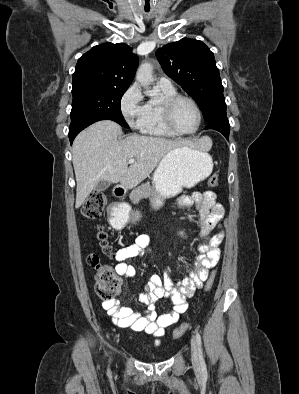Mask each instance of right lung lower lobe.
<instances>
[{
  "label": "right lung lower lobe",
  "mask_w": 299,
  "mask_h": 394,
  "mask_svg": "<svg viewBox=\"0 0 299 394\" xmlns=\"http://www.w3.org/2000/svg\"><path fill=\"white\" fill-rule=\"evenodd\" d=\"M100 120H104V119L89 118V119H81V120H76V121L71 122L70 128H69L70 143L72 144L74 138L81 130H83L87 126L93 124L94 122H97Z\"/></svg>",
  "instance_id": "obj_1"
}]
</instances>
